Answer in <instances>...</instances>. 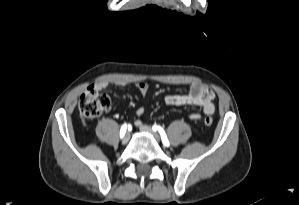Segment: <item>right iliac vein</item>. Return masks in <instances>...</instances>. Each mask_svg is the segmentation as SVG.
I'll use <instances>...</instances> for the list:
<instances>
[{
    "label": "right iliac vein",
    "mask_w": 299,
    "mask_h": 205,
    "mask_svg": "<svg viewBox=\"0 0 299 205\" xmlns=\"http://www.w3.org/2000/svg\"><path fill=\"white\" fill-rule=\"evenodd\" d=\"M130 139V134L126 133L123 138L121 139L122 143L126 144Z\"/></svg>",
    "instance_id": "63e3f726"
}]
</instances>
